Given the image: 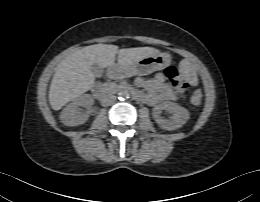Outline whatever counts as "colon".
Wrapping results in <instances>:
<instances>
[{"label":"colon","mask_w":260,"mask_h":202,"mask_svg":"<svg viewBox=\"0 0 260 202\" xmlns=\"http://www.w3.org/2000/svg\"><path fill=\"white\" fill-rule=\"evenodd\" d=\"M165 76L168 79L172 87L178 92L185 95L186 92V80L179 72L178 68L170 65L165 69ZM202 92L198 89L194 90L189 95V101L192 105H199L202 101Z\"/></svg>","instance_id":"colon-1"}]
</instances>
